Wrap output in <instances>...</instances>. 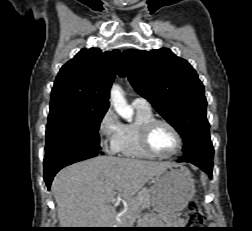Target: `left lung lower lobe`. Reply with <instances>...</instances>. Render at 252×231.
<instances>
[{
	"label": "left lung lower lobe",
	"instance_id": "left-lung-lower-lobe-1",
	"mask_svg": "<svg viewBox=\"0 0 252 231\" xmlns=\"http://www.w3.org/2000/svg\"><path fill=\"white\" fill-rule=\"evenodd\" d=\"M213 146L205 145L199 146L192 150L185 152L177 162H189L192 163L202 170L206 171L209 176L212 175L213 169Z\"/></svg>",
	"mask_w": 252,
	"mask_h": 231
}]
</instances>
